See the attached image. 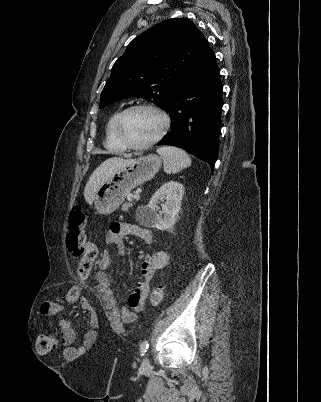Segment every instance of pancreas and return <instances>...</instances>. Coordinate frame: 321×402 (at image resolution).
<instances>
[{"label":"pancreas","mask_w":321,"mask_h":402,"mask_svg":"<svg viewBox=\"0 0 321 402\" xmlns=\"http://www.w3.org/2000/svg\"><path fill=\"white\" fill-rule=\"evenodd\" d=\"M133 204H134V203H133L132 201L125 202V203L122 205L121 210H122V211H125V212H128L129 209H131V208L133 207Z\"/></svg>","instance_id":"1"}]
</instances>
